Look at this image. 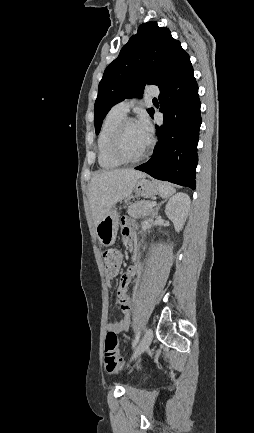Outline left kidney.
Segmentation results:
<instances>
[{"mask_svg": "<svg viewBox=\"0 0 254 433\" xmlns=\"http://www.w3.org/2000/svg\"><path fill=\"white\" fill-rule=\"evenodd\" d=\"M189 208L190 198L183 192H179L169 199L165 208V213L167 217L174 223V227L177 232L183 228Z\"/></svg>", "mask_w": 254, "mask_h": 433, "instance_id": "1", "label": "left kidney"}]
</instances>
